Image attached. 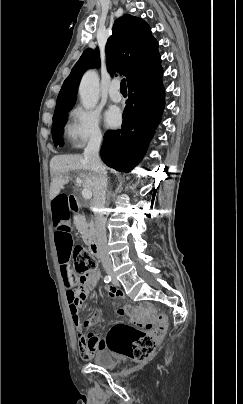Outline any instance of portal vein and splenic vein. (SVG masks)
Listing matches in <instances>:
<instances>
[{"instance_id": "1", "label": "portal vein and splenic vein", "mask_w": 243, "mask_h": 404, "mask_svg": "<svg viewBox=\"0 0 243 404\" xmlns=\"http://www.w3.org/2000/svg\"><path fill=\"white\" fill-rule=\"evenodd\" d=\"M76 182L77 184H81L80 178H77ZM82 196L83 198H85V200H90V198H92V192H90V190H87V188H84V190H82Z\"/></svg>"}]
</instances>
